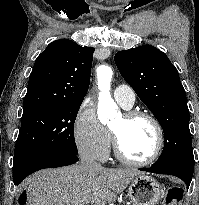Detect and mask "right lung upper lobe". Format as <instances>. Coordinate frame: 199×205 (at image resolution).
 I'll use <instances>...</instances> for the list:
<instances>
[{"instance_id": "cb5924a9", "label": "right lung upper lobe", "mask_w": 199, "mask_h": 205, "mask_svg": "<svg viewBox=\"0 0 199 205\" xmlns=\"http://www.w3.org/2000/svg\"><path fill=\"white\" fill-rule=\"evenodd\" d=\"M94 51L69 39L51 42L34 63L24 111L57 103H82L89 87Z\"/></svg>"}]
</instances>
